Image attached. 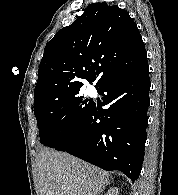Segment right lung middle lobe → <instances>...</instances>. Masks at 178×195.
Here are the masks:
<instances>
[{
	"instance_id": "right-lung-middle-lobe-1",
	"label": "right lung middle lobe",
	"mask_w": 178,
	"mask_h": 195,
	"mask_svg": "<svg viewBox=\"0 0 178 195\" xmlns=\"http://www.w3.org/2000/svg\"><path fill=\"white\" fill-rule=\"evenodd\" d=\"M93 103L83 100L79 92L47 100L34 108L40 142L54 148L70 137L78 121L89 111Z\"/></svg>"
}]
</instances>
